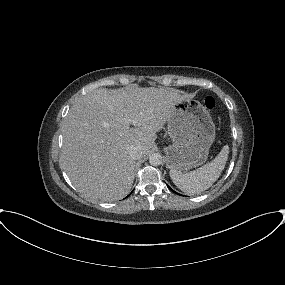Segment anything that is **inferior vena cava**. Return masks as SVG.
<instances>
[{"label":"inferior vena cava","instance_id":"inferior-vena-cava-1","mask_svg":"<svg viewBox=\"0 0 285 285\" xmlns=\"http://www.w3.org/2000/svg\"><path fill=\"white\" fill-rule=\"evenodd\" d=\"M129 155L132 159L138 160L142 157V151H141L140 147L132 145L129 148Z\"/></svg>","mask_w":285,"mask_h":285}]
</instances>
